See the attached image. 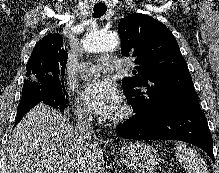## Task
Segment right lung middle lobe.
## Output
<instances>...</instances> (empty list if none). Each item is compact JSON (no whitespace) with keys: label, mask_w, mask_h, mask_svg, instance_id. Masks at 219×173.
I'll list each match as a JSON object with an SVG mask.
<instances>
[{"label":"right lung middle lobe","mask_w":219,"mask_h":173,"mask_svg":"<svg viewBox=\"0 0 219 173\" xmlns=\"http://www.w3.org/2000/svg\"><path fill=\"white\" fill-rule=\"evenodd\" d=\"M26 69L27 78L24 80L22 95L44 92L59 102H66L68 94L64 87V68L59 65L28 61Z\"/></svg>","instance_id":"obj_1"}]
</instances>
